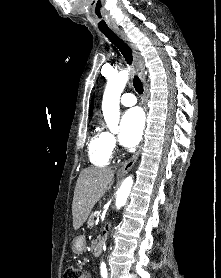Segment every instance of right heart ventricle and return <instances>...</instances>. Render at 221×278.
<instances>
[{
  "mask_svg": "<svg viewBox=\"0 0 221 278\" xmlns=\"http://www.w3.org/2000/svg\"><path fill=\"white\" fill-rule=\"evenodd\" d=\"M89 158L97 166H106L112 158V147L107 132L97 129L89 141Z\"/></svg>",
  "mask_w": 221,
  "mask_h": 278,
  "instance_id": "right-heart-ventricle-1",
  "label": "right heart ventricle"
}]
</instances>
